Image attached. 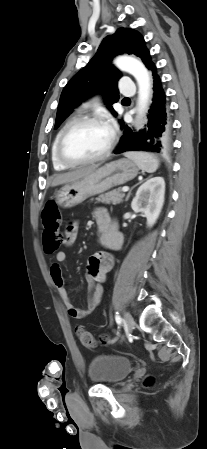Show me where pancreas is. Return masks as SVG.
I'll use <instances>...</instances> for the list:
<instances>
[{
    "instance_id": "1",
    "label": "pancreas",
    "mask_w": 207,
    "mask_h": 449,
    "mask_svg": "<svg viewBox=\"0 0 207 449\" xmlns=\"http://www.w3.org/2000/svg\"><path fill=\"white\" fill-rule=\"evenodd\" d=\"M125 194L120 192V190H113L107 192L105 194H101L96 198L97 202L105 203V204H120L123 202Z\"/></svg>"
}]
</instances>
